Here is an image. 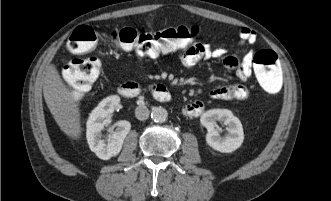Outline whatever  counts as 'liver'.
<instances>
[{
    "instance_id": "liver-1",
    "label": "liver",
    "mask_w": 331,
    "mask_h": 201,
    "mask_svg": "<svg viewBox=\"0 0 331 201\" xmlns=\"http://www.w3.org/2000/svg\"><path fill=\"white\" fill-rule=\"evenodd\" d=\"M45 102L60 129L75 140L81 137L80 103L62 81L54 64L46 66L43 78Z\"/></svg>"
}]
</instances>
